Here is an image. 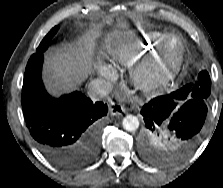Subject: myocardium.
<instances>
[{
    "mask_svg": "<svg viewBox=\"0 0 223 188\" xmlns=\"http://www.w3.org/2000/svg\"><path fill=\"white\" fill-rule=\"evenodd\" d=\"M174 40L178 43V51L171 58L168 46ZM185 53L186 45L181 36L174 33L166 35L157 50L132 69L131 77L135 86L143 92L152 93L171 83L181 71Z\"/></svg>",
    "mask_w": 223,
    "mask_h": 188,
    "instance_id": "obj_1",
    "label": "myocardium"
}]
</instances>
